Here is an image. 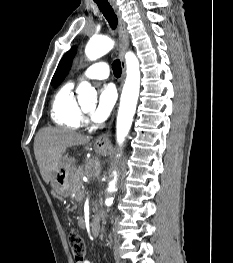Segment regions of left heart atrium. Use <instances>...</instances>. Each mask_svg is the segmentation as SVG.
I'll return each mask as SVG.
<instances>
[{
	"label": "left heart atrium",
	"mask_w": 233,
	"mask_h": 263,
	"mask_svg": "<svg viewBox=\"0 0 233 263\" xmlns=\"http://www.w3.org/2000/svg\"><path fill=\"white\" fill-rule=\"evenodd\" d=\"M116 101L115 88L108 84L103 86L99 92L96 107L91 112L92 120L101 123L110 115Z\"/></svg>",
	"instance_id": "left-heart-atrium-1"
}]
</instances>
